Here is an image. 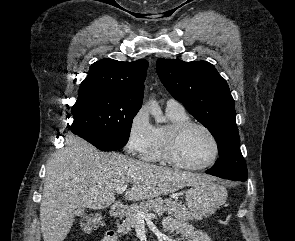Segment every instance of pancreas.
Masks as SVG:
<instances>
[{
    "label": "pancreas",
    "mask_w": 295,
    "mask_h": 241,
    "mask_svg": "<svg viewBox=\"0 0 295 241\" xmlns=\"http://www.w3.org/2000/svg\"><path fill=\"white\" fill-rule=\"evenodd\" d=\"M138 211L143 213L153 211L157 214L167 212L169 214H173V216H175L177 219L184 221H193L198 219V216L180 201H171L170 199L147 200L140 203L139 205H132L128 208L125 213V219L117 227V232L119 234H127L131 228L136 225Z\"/></svg>",
    "instance_id": "obj_1"
}]
</instances>
